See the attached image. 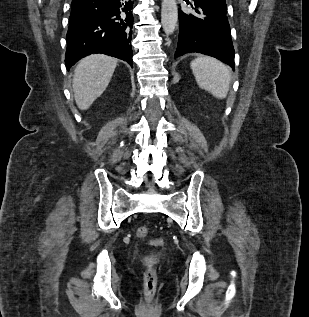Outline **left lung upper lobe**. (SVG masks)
<instances>
[{
	"instance_id": "5c2ea615",
	"label": "left lung upper lobe",
	"mask_w": 309,
	"mask_h": 317,
	"mask_svg": "<svg viewBox=\"0 0 309 317\" xmlns=\"http://www.w3.org/2000/svg\"><path fill=\"white\" fill-rule=\"evenodd\" d=\"M194 1L227 7L225 0H194Z\"/></svg>"
}]
</instances>
